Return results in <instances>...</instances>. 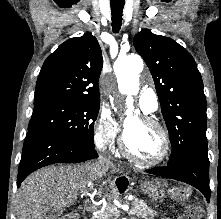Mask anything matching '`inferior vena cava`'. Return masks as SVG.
<instances>
[{"instance_id": "1", "label": "inferior vena cava", "mask_w": 221, "mask_h": 219, "mask_svg": "<svg viewBox=\"0 0 221 219\" xmlns=\"http://www.w3.org/2000/svg\"><path fill=\"white\" fill-rule=\"evenodd\" d=\"M98 164L105 167V166H110L111 162L110 159L104 156H99L98 158Z\"/></svg>"}]
</instances>
